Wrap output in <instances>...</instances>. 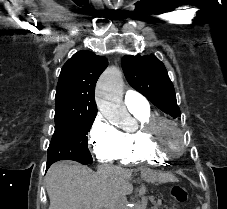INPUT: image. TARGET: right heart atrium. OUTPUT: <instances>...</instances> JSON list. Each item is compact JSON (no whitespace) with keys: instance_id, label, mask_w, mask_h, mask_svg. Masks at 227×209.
Instances as JSON below:
<instances>
[{"instance_id":"1","label":"right heart atrium","mask_w":227,"mask_h":209,"mask_svg":"<svg viewBox=\"0 0 227 209\" xmlns=\"http://www.w3.org/2000/svg\"><path fill=\"white\" fill-rule=\"evenodd\" d=\"M93 152L99 161L114 160L121 145V131L99 116L90 131Z\"/></svg>"}]
</instances>
